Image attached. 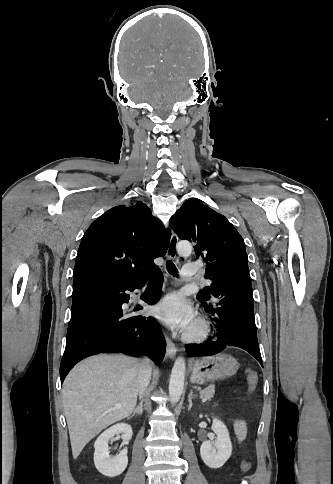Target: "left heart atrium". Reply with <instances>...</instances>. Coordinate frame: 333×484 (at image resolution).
Listing matches in <instances>:
<instances>
[{
	"label": "left heart atrium",
	"mask_w": 333,
	"mask_h": 484,
	"mask_svg": "<svg viewBox=\"0 0 333 484\" xmlns=\"http://www.w3.org/2000/svg\"><path fill=\"white\" fill-rule=\"evenodd\" d=\"M154 315L168 325L184 331L189 330L195 321L191 302L179 292L166 295L154 307Z\"/></svg>",
	"instance_id": "obj_1"
}]
</instances>
